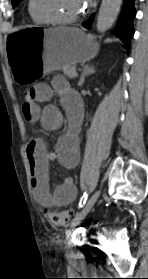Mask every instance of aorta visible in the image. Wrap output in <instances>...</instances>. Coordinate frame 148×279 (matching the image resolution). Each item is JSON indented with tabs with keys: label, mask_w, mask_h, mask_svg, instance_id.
Masks as SVG:
<instances>
[{
	"label": "aorta",
	"mask_w": 148,
	"mask_h": 279,
	"mask_svg": "<svg viewBox=\"0 0 148 279\" xmlns=\"http://www.w3.org/2000/svg\"><path fill=\"white\" fill-rule=\"evenodd\" d=\"M121 4L122 0H102L96 22V28L100 33L105 32L113 25Z\"/></svg>",
	"instance_id": "1"
}]
</instances>
